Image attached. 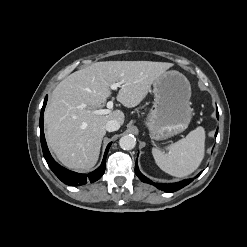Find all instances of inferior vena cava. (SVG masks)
<instances>
[{
    "label": "inferior vena cava",
    "mask_w": 247,
    "mask_h": 247,
    "mask_svg": "<svg viewBox=\"0 0 247 247\" xmlns=\"http://www.w3.org/2000/svg\"><path fill=\"white\" fill-rule=\"evenodd\" d=\"M120 128V123L117 120H109L106 125H105V129L108 132H113L116 131Z\"/></svg>",
    "instance_id": "1"
}]
</instances>
